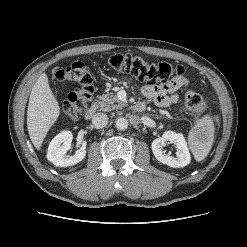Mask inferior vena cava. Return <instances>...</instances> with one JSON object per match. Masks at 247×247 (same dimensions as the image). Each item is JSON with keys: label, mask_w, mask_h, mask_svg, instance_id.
Returning <instances> with one entry per match:
<instances>
[{"label": "inferior vena cava", "mask_w": 247, "mask_h": 247, "mask_svg": "<svg viewBox=\"0 0 247 247\" xmlns=\"http://www.w3.org/2000/svg\"><path fill=\"white\" fill-rule=\"evenodd\" d=\"M92 123L96 128H103L108 124V116L104 113H96L92 118Z\"/></svg>", "instance_id": "inferior-vena-cava-1"}]
</instances>
